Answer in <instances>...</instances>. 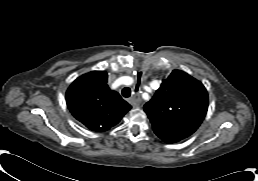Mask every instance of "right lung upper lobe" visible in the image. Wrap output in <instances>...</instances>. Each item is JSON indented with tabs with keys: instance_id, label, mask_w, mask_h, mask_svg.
I'll list each match as a JSON object with an SVG mask.
<instances>
[{
	"instance_id": "right-lung-upper-lobe-1",
	"label": "right lung upper lobe",
	"mask_w": 258,
	"mask_h": 181,
	"mask_svg": "<svg viewBox=\"0 0 258 181\" xmlns=\"http://www.w3.org/2000/svg\"><path fill=\"white\" fill-rule=\"evenodd\" d=\"M66 102L77 120L99 132L116 125L131 109L116 91L108 87L105 71H92L77 78L66 92Z\"/></svg>"
}]
</instances>
